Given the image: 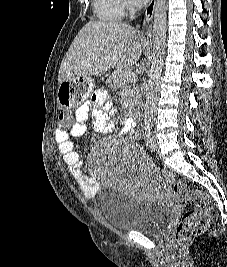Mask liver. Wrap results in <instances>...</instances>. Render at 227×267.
<instances>
[{
    "instance_id": "1",
    "label": "liver",
    "mask_w": 227,
    "mask_h": 267,
    "mask_svg": "<svg viewBox=\"0 0 227 267\" xmlns=\"http://www.w3.org/2000/svg\"><path fill=\"white\" fill-rule=\"evenodd\" d=\"M142 40L134 27L111 21H90L77 34L59 69L64 77L98 76L113 67L128 70L142 54Z\"/></svg>"
}]
</instances>
